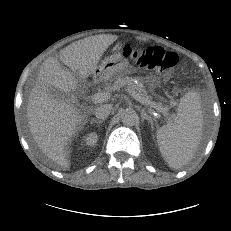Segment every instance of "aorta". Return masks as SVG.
Instances as JSON below:
<instances>
[{
  "label": "aorta",
  "mask_w": 231,
  "mask_h": 231,
  "mask_svg": "<svg viewBox=\"0 0 231 231\" xmlns=\"http://www.w3.org/2000/svg\"><path fill=\"white\" fill-rule=\"evenodd\" d=\"M138 116L134 110L128 109L122 115V122L127 126L135 125Z\"/></svg>",
  "instance_id": "762f6f07"
}]
</instances>
